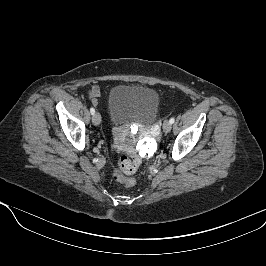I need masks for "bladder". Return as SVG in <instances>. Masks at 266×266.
<instances>
[{"mask_svg":"<svg viewBox=\"0 0 266 266\" xmlns=\"http://www.w3.org/2000/svg\"><path fill=\"white\" fill-rule=\"evenodd\" d=\"M159 107L158 93L140 85L120 84L108 95V110L113 126L128 123L150 124Z\"/></svg>","mask_w":266,"mask_h":266,"instance_id":"1","label":"bladder"}]
</instances>
